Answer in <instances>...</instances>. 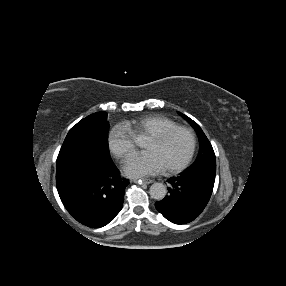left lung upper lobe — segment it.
Segmentation results:
<instances>
[{
    "mask_svg": "<svg viewBox=\"0 0 286 286\" xmlns=\"http://www.w3.org/2000/svg\"><path fill=\"white\" fill-rule=\"evenodd\" d=\"M179 114L184 119H186L192 125V127L196 130L198 137H199V143H200V149H199L198 157H197L196 161L194 162V164L187 169L194 168L196 166L206 164V163H216L214 150H213L209 140L207 139L206 135L204 134V132L200 128V126L196 122H194L191 118H189L188 116H186L182 113H179Z\"/></svg>",
    "mask_w": 286,
    "mask_h": 286,
    "instance_id": "1",
    "label": "left lung upper lobe"
}]
</instances>
